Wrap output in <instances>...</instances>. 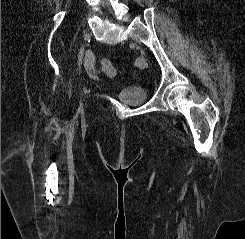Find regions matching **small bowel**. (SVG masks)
Instances as JSON below:
<instances>
[{"mask_svg":"<svg viewBox=\"0 0 245 239\" xmlns=\"http://www.w3.org/2000/svg\"><path fill=\"white\" fill-rule=\"evenodd\" d=\"M86 70L88 72V75L94 79L97 80L98 79V75L101 72V69L98 68L95 65V57L93 54H89L86 60Z\"/></svg>","mask_w":245,"mask_h":239,"instance_id":"small-bowel-1","label":"small bowel"}]
</instances>
